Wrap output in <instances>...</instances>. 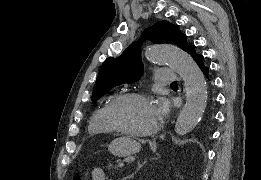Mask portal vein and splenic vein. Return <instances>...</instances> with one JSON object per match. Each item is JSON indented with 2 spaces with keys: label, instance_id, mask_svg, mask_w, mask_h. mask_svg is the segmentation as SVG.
<instances>
[{
  "label": "portal vein and splenic vein",
  "instance_id": "obj_1",
  "mask_svg": "<svg viewBox=\"0 0 261 180\" xmlns=\"http://www.w3.org/2000/svg\"><path fill=\"white\" fill-rule=\"evenodd\" d=\"M116 165L118 166V170H123L124 161H117Z\"/></svg>",
  "mask_w": 261,
  "mask_h": 180
}]
</instances>
